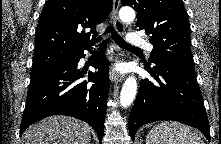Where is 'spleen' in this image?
Segmentation results:
<instances>
[{
    "mask_svg": "<svg viewBox=\"0 0 221 144\" xmlns=\"http://www.w3.org/2000/svg\"><path fill=\"white\" fill-rule=\"evenodd\" d=\"M146 144H204V142L191 127L177 121H163L149 131Z\"/></svg>",
    "mask_w": 221,
    "mask_h": 144,
    "instance_id": "obj_1",
    "label": "spleen"
}]
</instances>
